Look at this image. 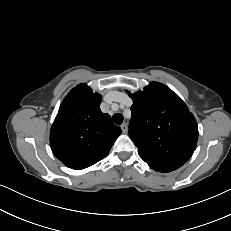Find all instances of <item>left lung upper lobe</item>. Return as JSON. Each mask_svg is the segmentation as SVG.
I'll list each match as a JSON object with an SVG mask.
<instances>
[{"instance_id": "5c2ea615", "label": "left lung upper lobe", "mask_w": 231, "mask_h": 231, "mask_svg": "<svg viewBox=\"0 0 231 231\" xmlns=\"http://www.w3.org/2000/svg\"><path fill=\"white\" fill-rule=\"evenodd\" d=\"M129 95L133 100L129 136L142 160L163 173L185 164L198 139L196 120L186 104L159 82Z\"/></svg>"}]
</instances>
